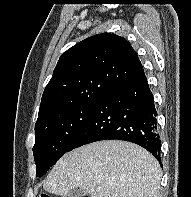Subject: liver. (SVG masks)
<instances>
[{"label": "liver", "instance_id": "liver-1", "mask_svg": "<svg viewBox=\"0 0 191 197\" xmlns=\"http://www.w3.org/2000/svg\"><path fill=\"white\" fill-rule=\"evenodd\" d=\"M162 170L156 158L131 142L104 140L66 153L43 181L45 191L67 196L158 197Z\"/></svg>", "mask_w": 191, "mask_h": 197}]
</instances>
